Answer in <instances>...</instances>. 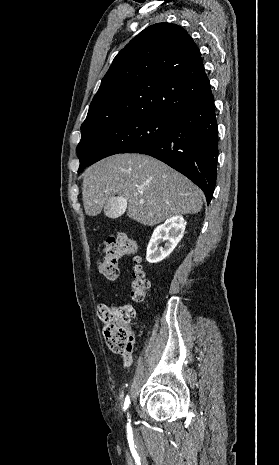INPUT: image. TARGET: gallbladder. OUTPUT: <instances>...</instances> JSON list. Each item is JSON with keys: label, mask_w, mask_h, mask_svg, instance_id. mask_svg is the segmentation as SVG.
Listing matches in <instances>:
<instances>
[{"label": "gallbladder", "mask_w": 279, "mask_h": 465, "mask_svg": "<svg viewBox=\"0 0 279 465\" xmlns=\"http://www.w3.org/2000/svg\"><path fill=\"white\" fill-rule=\"evenodd\" d=\"M127 206V202L123 197H114L110 199L106 205L104 213L111 219H116L123 215Z\"/></svg>", "instance_id": "bac80fb5"}]
</instances>
